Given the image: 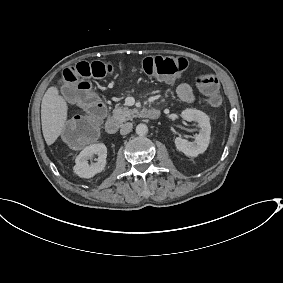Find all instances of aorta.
Listing matches in <instances>:
<instances>
[{
  "mask_svg": "<svg viewBox=\"0 0 283 283\" xmlns=\"http://www.w3.org/2000/svg\"><path fill=\"white\" fill-rule=\"evenodd\" d=\"M148 133V127L146 124L140 123L136 127V134L139 136H144Z\"/></svg>",
  "mask_w": 283,
  "mask_h": 283,
  "instance_id": "762f6f07",
  "label": "aorta"
}]
</instances>
